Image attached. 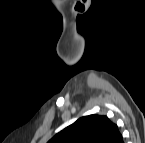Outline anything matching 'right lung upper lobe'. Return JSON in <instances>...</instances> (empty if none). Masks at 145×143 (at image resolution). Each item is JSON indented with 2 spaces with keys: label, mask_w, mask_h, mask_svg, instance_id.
I'll use <instances>...</instances> for the list:
<instances>
[{
  "label": "right lung upper lobe",
  "mask_w": 145,
  "mask_h": 143,
  "mask_svg": "<svg viewBox=\"0 0 145 143\" xmlns=\"http://www.w3.org/2000/svg\"><path fill=\"white\" fill-rule=\"evenodd\" d=\"M48 143H123L117 125L106 116L89 115L56 134Z\"/></svg>",
  "instance_id": "right-lung-upper-lobe-1"
}]
</instances>
